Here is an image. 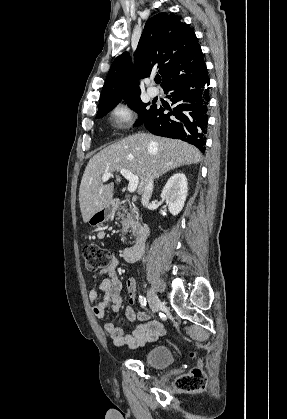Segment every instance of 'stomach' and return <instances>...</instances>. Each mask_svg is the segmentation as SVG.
Here are the masks:
<instances>
[{
  "label": "stomach",
  "instance_id": "obj_1",
  "mask_svg": "<svg viewBox=\"0 0 287 419\" xmlns=\"http://www.w3.org/2000/svg\"><path fill=\"white\" fill-rule=\"evenodd\" d=\"M114 216V207L110 203L105 208L95 212L90 219L88 220L89 224L92 226H99L107 221H109Z\"/></svg>",
  "mask_w": 287,
  "mask_h": 419
}]
</instances>
